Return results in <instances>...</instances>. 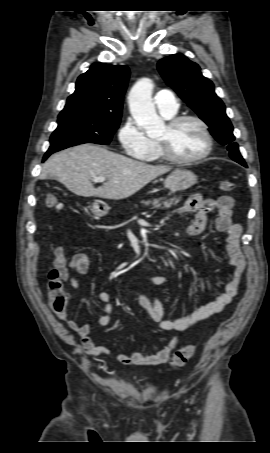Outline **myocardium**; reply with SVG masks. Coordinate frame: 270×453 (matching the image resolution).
Here are the masks:
<instances>
[{
    "label": "myocardium",
    "mask_w": 270,
    "mask_h": 453,
    "mask_svg": "<svg viewBox=\"0 0 270 453\" xmlns=\"http://www.w3.org/2000/svg\"><path fill=\"white\" fill-rule=\"evenodd\" d=\"M187 121L195 122L196 124H198L201 127L205 140H206V146H205V149L199 155H197L195 157L181 158V157L176 156L172 152L168 140H157V143H158V146L160 148L163 158L174 164L185 165V164L197 163V162L205 159L211 153V151L213 149V138H212L211 132L209 130V126L203 119H201L198 116L180 115V116L171 117V118H169V120L167 122V128L170 131H172L175 128H177L178 126H180L182 123L187 122Z\"/></svg>",
    "instance_id": "obj_1"
}]
</instances>
